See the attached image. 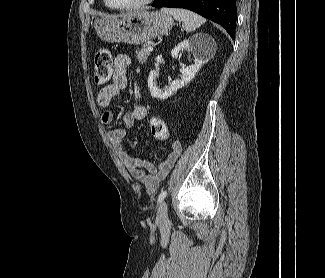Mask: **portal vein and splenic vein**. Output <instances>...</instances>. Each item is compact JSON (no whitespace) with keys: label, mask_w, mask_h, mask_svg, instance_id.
Returning <instances> with one entry per match:
<instances>
[{"label":"portal vein and splenic vein","mask_w":325,"mask_h":278,"mask_svg":"<svg viewBox=\"0 0 325 278\" xmlns=\"http://www.w3.org/2000/svg\"><path fill=\"white\" fill-rule=\"evenodd\" d=\"M148 51H153V47L152 46H148Z\"/></svg>","instance_id":"obj_1"}]
</instances>
